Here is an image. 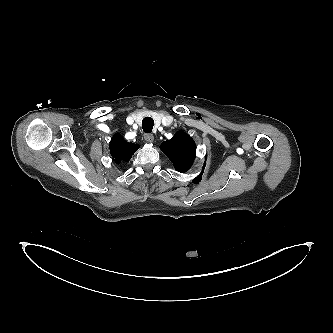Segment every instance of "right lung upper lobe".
I'll list each match as a JSON object with an SVG mask.
<instances>
[{"mask_svg":"<svg viewBox=\"0 0 333 333\" xmlns=\"http://www.w3.org/2000/svg\"><path fill=\"white\" fill-rule=\"evenodd\" d=\"M138 148L139 145L126 142L119 133H116L110 142V152L117 164L129 161Z\"/></svg>","mask_w":333,"mask_h":333,"instance_id":"right-lung-upper-lobe-1","label":"right lung upper lobe"}]
</instances>
